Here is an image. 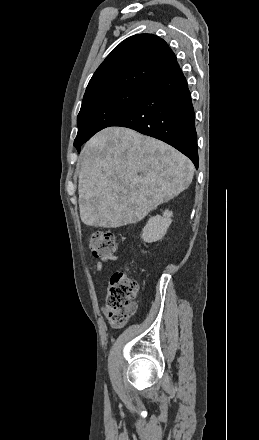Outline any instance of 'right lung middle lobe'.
I'll use <instances>...</instances> for the list:
<instances>
[{
  "label": "right lung middle lobe",
  "mask_w": 259,
  "mask_h": 440,
  "mask_svg": "<svg viewBox=\"0 0 259 440\" xmlns=\"http://www.w3.org/2000/svg\"><path fill=\"white\" fill-rule=\"evenodd\" d=\"M147 90L145 88L120 89L83 103L77 117L78 133L74 141L78 152L81 145L95 133L109 127L129 112Z\"/></svg>",
  "instance_id": "right-lung-middle-lobe-1"
}]
</instances>
